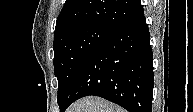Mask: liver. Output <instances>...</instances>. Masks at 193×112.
<instances>
[{
  "label": "liver",
  "mask_w": 193,
  "mask_h": 112,
  "mask_svg": "<svg viewBox=\"0 0 193 112\" xmlns=\"http://www.w3.org/2000/svg\"><path fill=\"white\" fill-rule=\"evenodd\" d=\"M67 112H125V110L100 97L90 96L73 103Z\"/></svg>",
  "instance_id": "liver-1"
}]
</instances>
